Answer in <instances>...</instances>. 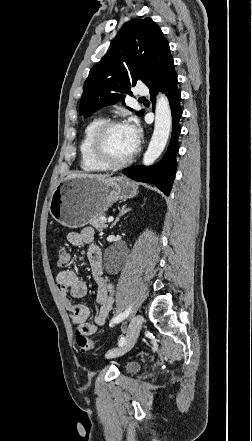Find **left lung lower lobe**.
<instances>
[{"mask_svg":"<svg viewBox=\"0 0 252 441\" xmlns=\"http://www.w3.org/2000/svg\"><path fill=\"white\" fill-rule=\"evenodd\" d=\"M177 74L174 61L167 45L159 58L153 78L147 85L151 100L154 101L158 91H163L169 99L172 113V134L167 151L156 165L132 166L123 170V173L133 180L154 183L165 195H169L176 171V154L178 153V136L181 128L179 119L182 116L180 106L181 94L177 87Z\"/></svg>","mask_w":252,"mask_h":441,"instance_id":"0a47b994","label":"left lung lower lobe"}]
</instances>
